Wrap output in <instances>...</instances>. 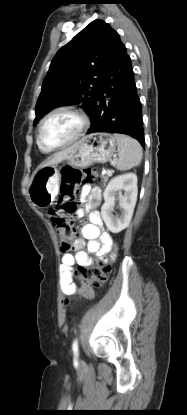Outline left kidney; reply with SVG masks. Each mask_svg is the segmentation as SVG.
Instances as JSON below:
<instances>
[{
	"label": "left kidney",
	"instance_id": "obj_1",
	"mask_svg": "<svg viewBox=\"0 0 187 415\" xmlns=\"http://www.w3.org/2000/svg\"><path fill=\"white\" fill-rule=\"evenodd\" d=\"M124 190V195L121 191ZM137 176L127 173L110 180L104 190V204L101 207V216L108 230L119 233L128 227L137 201ZM116 198L121 208L120 215H113Z\"/></svg>",
	"mask_w": 187,
	"mask_h": 415
}]
</instances>
